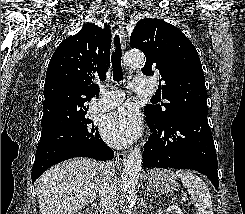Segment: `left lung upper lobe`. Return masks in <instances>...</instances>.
Wrapping results in <instances>:
<instances>
[{
  "label": "left lung upper lobe",
  "mask_w": 245,
  "mask_h": 214,
  "mask_svg": "<svg viewBox=\"0 0 245 214\" xmlns=\"http://www.w3.org/2000/svg\"><path fill=\"white\" fill-rule=\"evenodd\" d=\"M130 46L146 56L143 74H157L159 82L164 83L156 94L168 103L144 107L148 118L166 125L190 114H208L205 77L197 50L179 29L164 20L142 19L132 32Z\"/></svg>",
  "instance_id": "5c2ea615"
}]
</instances>
